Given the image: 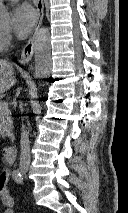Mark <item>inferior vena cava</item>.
Wrapping results in <instances>:
<instances>
[{"mask_svg":"<svg viewBox=\"0 0 128 213\" xmlns=\"http://www.w3.org/2000/svg\"><path fill=\"white\" fill-rule=\"evenodd\" d=\"M30 160L31 157L28 132L25 130V126L22 124L20 167H28L30 165Z\"/></svg>","mask_w":128,"mask_h":213,"instance_id":"obj_1","label":"inferior vena cava"}]
</instances>
